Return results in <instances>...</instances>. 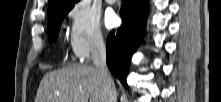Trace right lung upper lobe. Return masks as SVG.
I'll use <instances>...</instances> for the list:
<instances>
[{
	"label": "right lung upper lobe",
	"instance_id": "cb5924a9",
	"mask_svg": "<svg viewBox=\"0 0 221 102\" xmlns=\"http://www.w3.org/2000/svg\"><path fill=\"white\" fill-rule=\"evenodd\" d=\"M76 2L78 0H49L48 19L63 9L73 8Z\"/></svg>",
	"mask_w": 221,
	"mask_h": 102
}]
</instances>
